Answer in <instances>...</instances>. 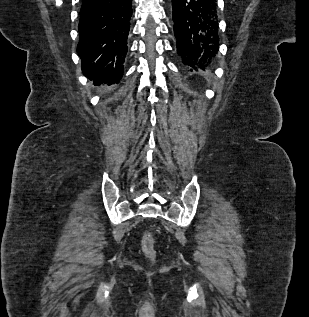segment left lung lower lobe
Instances as JSON below:
<instances>
[{
    "label": "left lung lower lobe",
    "mask_w": 309,
    "mask_h": 317,
    "mask_svg": "<svg viewBox=\"0 0 309 317\" xmlns=\"http://www.w3.org/2000/svg\"><path fill=\"white\" fill-rule=\"evenodd\" d=\"M172 10L182 63L193 68L211 67L219 49L217 0H172Z\"/></svg>",
    "instance_id": "obj_1"
}]
</instances>
